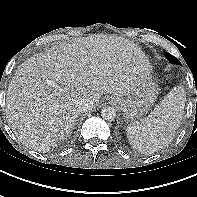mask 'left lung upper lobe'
Instances as JSON below:
<instances>
[{
    "instance_id": "left-lung-upper-lobe-1",
    "label": "left lung upper lobe",
    "mask_w": 197,
    "mask_h": 197,
    "mask_svg": "<svg viewBox=\"0 0 197 197\" xmlns=\"http://www.w3.org/2000/svg\"><path fill=\"white\" fill-rule=\"evenodd\" d=\"M165 57L169 60L171 64H181L177 58H175L173 55L169 54L168 52H165Z\"/></svg>"
}]
</instances>
